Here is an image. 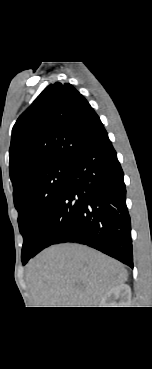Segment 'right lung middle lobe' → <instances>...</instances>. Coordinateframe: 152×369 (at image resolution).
Here are the masks:
<instances>
[{"instance_id": "obj_1", "label": "right lung middle lobe", "mask_w": 152, "mask_h": 369, "mask_svg": "<svg viewBox=\"0 0 152 369\" xmlns=\"http://www.w3.org/2000/svg\"><path fill=\"white\" fill-rule=\"evenodd\" d=\"M69 163H59L29 175L13 194L20 233L24 238L22 262L36 251L44 228L67 180Z\"/></svg>"}]
</instances>
